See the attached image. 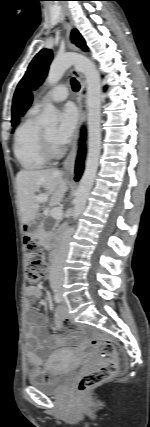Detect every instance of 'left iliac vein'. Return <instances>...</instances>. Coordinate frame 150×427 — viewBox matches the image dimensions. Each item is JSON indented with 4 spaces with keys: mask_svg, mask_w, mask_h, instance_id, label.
<instances>
[{
    "mask_svg": "<svg viewBox=\"0 0 150 427\" xmlns=\"http://www.w3.org/2000/svg\"><path fill=\"white\" fill-rule=\"evenodd\" d=\"M59 296H60V298H61L62 303H65V299L63 298V296H62V294H61V293H59Z\"/></svg>",
    "mask_w": 150,
    "mask_h": 427,
    "instance_id": "4c4485c4",
    "label": "left iliac vein"
}]
</instances>
